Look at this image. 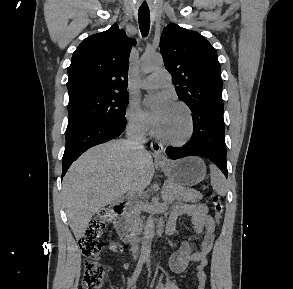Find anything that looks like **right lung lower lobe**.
Instances as JSON below:
<instances>
[{
    "mask_svg": "<svg viewBox=\"0 0 293 289\" xmlns=\"http://www.w3.org/2000/svg\"><path fill=\"white\" fill-rule=\"evenodd\" d=\"M126 119L117 118L91 124L66 136V146L62 158V178L73 161L87 149L114 139L122 134Z\"/></svg>",
    "mask_w": 293,
    "mask_h": 289,
    "instance_id": "obj_1",
    "label": "right lung lower lobe"
}]
</instances>
